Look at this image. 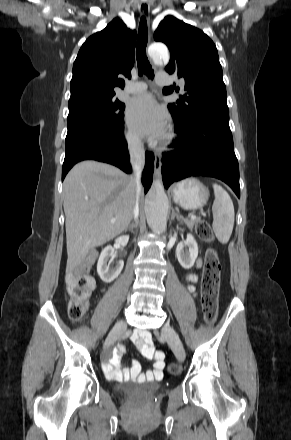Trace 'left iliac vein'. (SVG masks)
Listing matches in <instances>:
<instances>
[{
	"mask_svg": "<svg viewBox=\"0 0 291 440\" xmlns=\"http://www.w3.org/2000/svg\"><path fill=\"white\" fill-rule=\"evenodd\" d=\"M162 336L172 348L174 354L179 361H184L185 350L176 331L170 325H164L162 328Z\"/></svg>",
	"mask_w": 291,
	"mask_h": 440,
	"instance_id": "1",
	"label": "left iliac vein"
}]
</instances>
